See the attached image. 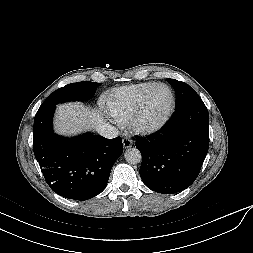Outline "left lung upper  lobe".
I'll return each instance as SVG.
<instances>
[{
  "instance_id": "1",
  "label": "left lung upper lobe",
  "mask_w": 253,
  "mask_h": 253,
  "mask_svg": "<svg viewBox=\"0 0 253 253\" xmlns=\"http://www.w3.org/2000/svg\"><path fill=\"white\" fill-rule=\"evenodd\" d=\"M167 81L173 86L176 92V109L201 100L196 91L188 84L175 79H167Z\"/></svg>"
}]
</instances>
